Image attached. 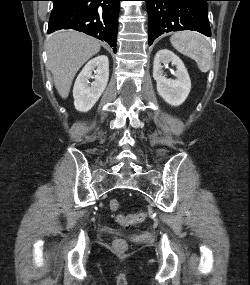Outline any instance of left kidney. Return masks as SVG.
Instances as JSON below:
<instances>
[{
	"label": "left kidney",
	"instance_id": "1",
	"mask_svg": "<svg viewBox=\"0 0 250 285\" xmlns=\"http://www.w3.org/2000/svg\"><path fill=\"white\" fill-rule=\"evenodd\" d=\"M169 62L176 67V79H167L163 72ZM153 78L157 82L159 95L171 106L181 105L191 90L189 74L182 60L168 49L159 50L153 62Z\"/></svg>",
	"mask_w": 250,
	"mask_h": 285
}]
</instances>
